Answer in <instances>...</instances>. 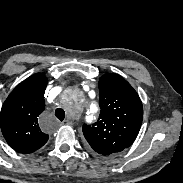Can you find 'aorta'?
Segmentation results:
<instances>
[{
    "instance_id": "obj_1",
    "label": "aorta",
    "mask_w": 183,
    "mask_h": 183,
    "mask_svg": "<svg viewBox=\"0 0 183 183\" xmlns=\"http://www.w3.org/2000/svg\"><path fill=\"white\" fill-rule=\"evenodd\" d=\"M96 110V107H94V110L93 111H95ZM88 118H92V116H88Z\"/></svg>"
}]
</instances>
